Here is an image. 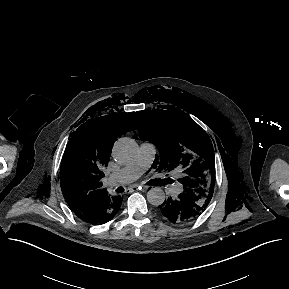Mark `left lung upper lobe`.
I'll return each mask as SVG.
<instances>
[{
	"mask_svg": "<svg viewBox=\"0 0 289 289\" xmlns=\"http://www.w3.org/2000/svg\"><path fill=\"white\" fill-rule=\"evenodd\" d=\"M138 121L140 136L159 148L161 168L177 169L183 192L197 195L206 207L213 195L215 159L205 131L187 114L172 108L147 110Z\"/></svg>",
	"mask_w": 289,
	"mask_h": 289,
	"instance_id": "left-lung-upper-lobe-1",
	"label": "left lung upper lobe"
}]
</instances>
